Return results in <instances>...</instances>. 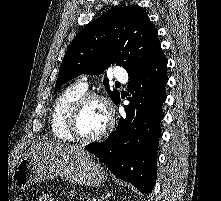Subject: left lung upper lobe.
<instances>
[{
    "label": "left lung upper lobe",
    "instance_id": "5c2ea615",
    "mask_svg": "<svg viewBox=\"0 0 221 201\" xmlns=\"http://www.w3.org/2000/svg\"><path fill=\"white\" fill-rule=\"evenodd\" d=\"M162 54L157 30L141 7L112 9L85 26L68 46L55 92L81 74L99 75L114 63L124 67L131 78ZM104 85L115 103L120 93L109 90L106 78Z\"/></svg>",
    "mask_w": 221,
    "mask_h": 201
}]
</instances>
